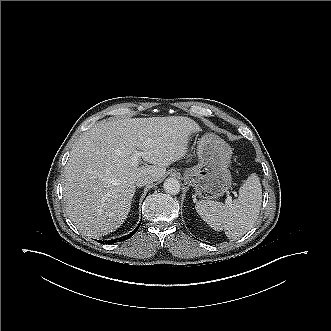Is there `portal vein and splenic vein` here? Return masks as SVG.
<instances>
[{"label":"portal vein and splenic vein","instance_id":"portal-vein-and-splenic-vein-1","mask_svg":"<svg viewBox=\"0 0 331 331\" xmlns=\"http://www.w3.org/2000/svg\"><path fill=\"white\" fill-rule=\"evenodd\" d=\"M143 155V152L136 151L132 156H131V165L132 166H137L139 164V158ZM228 201H231V197H227Z\"/></svg>","mask_w":331,"mask_h":331}]
</instances>
